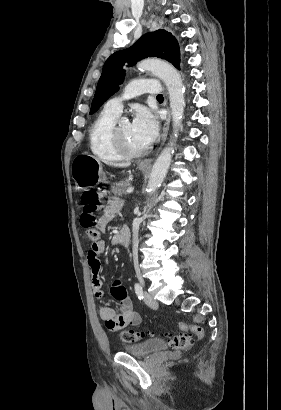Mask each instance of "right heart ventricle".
I'll use <instances>...</instances> for the list:
<instances>
[{"label":"right heart ventricle","instance_id":"obj_1","mask_svg":"<svg viewBox=\"0 0 281 410\" xmlns=\"http://www.w3.org/2000/svg\"><path fill=\"white\" fill-rule=\"evenodd\" d=\"M119 114V112L105 106L90 127V150L99 160L116 162L124 159V156L116 149L111 139V129Z\"/></svg>","mask_w":281,"mask_h":410}]
</instances>
